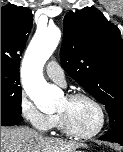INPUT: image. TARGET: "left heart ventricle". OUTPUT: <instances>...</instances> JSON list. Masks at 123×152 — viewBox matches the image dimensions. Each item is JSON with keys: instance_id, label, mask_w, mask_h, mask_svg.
I'll return each mask as SVG.
<instances>
[{"instance_id": "left-heart-ventricle-1", "label": "left heart ventricle", "mask_w": 123, "mask_h": 152, "mask_svg": "<svg viewBox=\"0 0 123 152\" xmlns=\"http://www.w3.org/2000/svg\"><path fill=\"white\" fill-rule=\"evenodd\" d=\"M58 112L65 114L73 129L80 133L92 132L100 122V114L97 108L86 99L69 101L64 97Z\"/></svg>"}]
</instances>
